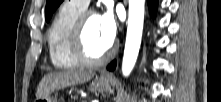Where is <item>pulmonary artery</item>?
<instances>
[{
  "instance_id": "e3ab8cb5",
  "label": "pulmonary artery",
  "mask_w": 221,
  "mask_h": 102,
  "mask_svg": "<svg viewBox=\"0 0 221 102\" xmlns=\"http://www.w3.org/2000/svg\"><path fill=\"white\" fill-rule=\"evenodd\" d=\"M71 1L76 3L77 5H79L80 7L84 8V9H86L90 3V0H71Z\"/></svg>"
}]
</instances>
